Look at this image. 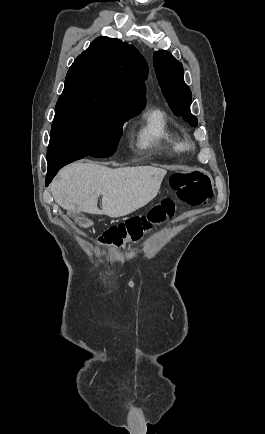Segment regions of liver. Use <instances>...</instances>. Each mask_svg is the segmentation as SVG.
Returning <instances> with one entry per match:
<instances>
[{
	"instance_id": "6515ba94",
	"label": "liver",
	"mask_w": 265,
	"mask_h": 434,
	"mask_svg": "<svg viewBox=\"0 0 265 434\" xmlns=\"http://www.w3.org/2000/svg\"><path fill=\"white\" fill-rule=\"evenodd\" d=\"M166 170L153 166L106 168L94 162H75L60 170L51 184L52 196L68 214H105L121 218L156 198ZM102 196V210L97 206Z\"/></svg>"
}]
</instances>
